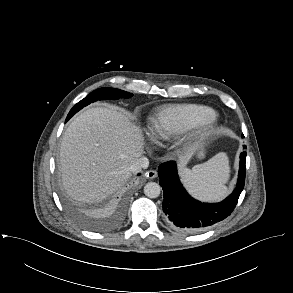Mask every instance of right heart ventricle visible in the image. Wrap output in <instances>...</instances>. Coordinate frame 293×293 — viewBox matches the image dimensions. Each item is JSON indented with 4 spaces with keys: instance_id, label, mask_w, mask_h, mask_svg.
Masks as SVG:
<instances>
[{
    "instance_id": "1",
    "label": "right heart ventricle",
    "mask_w": 293,
    "mask_h": 293,
    "mask_svg": "<svg viewBox=\"0 0 293 293\" xmlns=\"http://www.w3.org/2000/svg\"><path fill=\"white\" fill-rule=\"evenodd\" d=\"M199 104H171L159 109L150 119L149 135L155 140H169L194 128L203 118L214 114Z\"/></svg>"
}]
</instances>
